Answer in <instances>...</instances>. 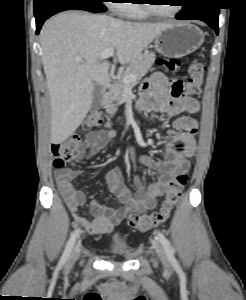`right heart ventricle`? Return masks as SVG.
Instances as JSON below:
<instances>
[{"label": "right heart ventricle", "mask_w": 246, "mask_h": 300, "mask_svg": "<svg viewBox=\"0 0 246 300\" xmlns=\"http://www.w3.org/2000/svg\"><path fill=\"white\" fill-rule=\"evenodd\" d=\"M118 12L126 17L133 19H145L150 15L139 5L135 3L134 0H128L127 3L120 5Z\"/></svg>", "instance_id": "right-heart-ventricle-1"}]
</instances>
